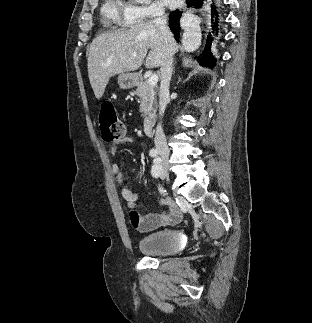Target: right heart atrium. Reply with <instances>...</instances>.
<instances>
[{
  "instance_id": "obj_1",
  "label": "right heart atrium",
  "mask_w": 312,
  "mask_h": 323,
  "mask_svg": "<svg viewBox=\"0 0 312 323\" xmlns=\"http://www.w3.org/2000/svg\"><path fill=\"white\" fill-rule=\"evenodd\" d=\"M165 6H159V2H137L136 6H127V10H121V17H128V22H151L152 17H163Z\"/></svg>"
}]
</instances>
